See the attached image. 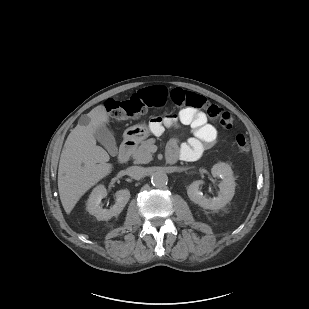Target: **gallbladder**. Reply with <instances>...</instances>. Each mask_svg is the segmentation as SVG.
Returning a JSON list of instances; mask_svg holds the SVG:
<instances>
[{"mask_svg": "<svg viewBox=\"0 0 309 309\" xmlns=\"http://www.w3.org/2000/svg\"><path fill=\"white\" fill-rule=\"evenodd\" d=\"M94 137L108 150L110 155H117L118 148L114 135L106 125L99 126L94 133Z\"/></svg>", "mask_w": 309, "mask_h": 309, "instance_id": "obj_1", "label": "gallbladder"}]
</instances>
